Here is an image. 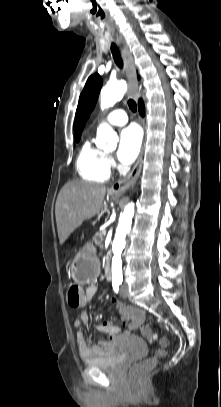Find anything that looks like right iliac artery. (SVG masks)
<instances>
[{"instance_id":"82829eb1","label":"right iliac artery","mask_w":221,"mask_h":407,"mask_svg":"<svg viewBox=\"0 0 221 407\" xmlns=\"http://www.w3.org/2000/svg\"><path fill=\"white\" fill-rule=\"evenodd\" d=\"M113 290L117 293L119 291V282H113Z\"/></svg>"}]
</instances>
